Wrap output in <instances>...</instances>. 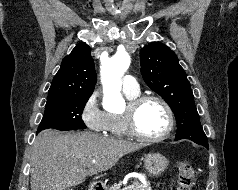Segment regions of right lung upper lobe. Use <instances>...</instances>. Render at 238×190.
<instances>
[{
  "label": "right lung upper lobe",
  "instance_id": "cb5924a9",
  "mask_svg": "<svg viewBox=\"0 0 238 190\" xmlns=\"http://www.w3.org/2000/svg\"><path fill=\"white\" fill-rule=\"evenodd\" d=\"M96 84V74L90 47L78 43L62 60L61 67L53 78L48 99L70 95H91Z\"/></svg>",
  "mask_w": 238,
  "mask_h": 190
}]
</instances>
